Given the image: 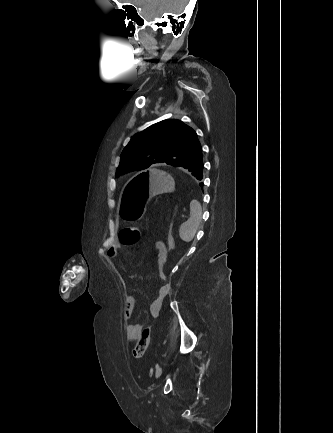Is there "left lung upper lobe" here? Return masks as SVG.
I'll return each mask as SVG.
<instances>
[{"label":"left lung upper lobe","mask_w":333,"mask_h":433,"mask_svg":"<svg viewBox=\"0 0 333 433\" xmlns=\"http://www.w3.org/2000/svg\"><path fill=\"white\" fill-rule=\"evenodd\" d=\"M201 148L192 128L180 120H163L132 137L121 154L116 176L159 163L181 167Z\"/></svg>","instance_id":"obj_1"}]
</instances>
